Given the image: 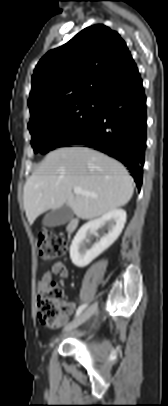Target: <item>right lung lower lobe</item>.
<instances>
[{
    "instance_id": "right-lung-lower-lobe-1",
    "label": "right lung lower lobe",
    "mask_w": 168,
    "mask_h": 406,
    "mask_svg": "<svg viewBox=\"0 0 168 406\" xmlns=\"http://www.w3.org/2000/svg\"><path fill=\"white\" fill-rule=\"evenodd\" d=\"M94 121L65 145H84L122 162L140 190L146 148V97L138 73L98 99Z\"/></svg>"
}]
</instances>
